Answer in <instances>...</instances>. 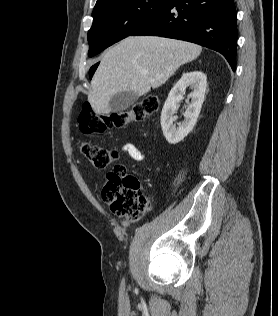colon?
<instances>
[{
    "label": "colon",
    "instance_id": "1",
    "mask_svg": "<svg viewBox=\"0 0 278 316\" xmlns=\"http://www.w3.org/2000/svg\"><path fill=\"white\" fill-rule=\"evenodd\" d=\"M158 106V99L149 95L127 111L100 115L93 111L88 103H84L78 117V127L89 137L113 128L124 127L130 122L144 120L155 113ZM81 151L97 168H106L118 158L116 150L90 142L82 143ZM102 198L113 213L125 217L130 222L139 220L148 209V200L140 193L139 180L128 174L123 166H115L107 174L102 188Z\"/></svg>",
    "mask_w": 278,
    "mask_h": 316
}]
</instances>
